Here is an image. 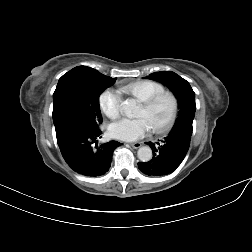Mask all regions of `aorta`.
Segmentation results:
<instances>
[{"label":"aorta","instance_id":"1","mask_svg":"<svg viewBox=\"0 0 252 252\" xmlns=\"http://www.w3.org/2000/svg\"><path fill=\"white\" fill-rule=\"evenodd\" d=\"M136 101L134 99H126L121 103V109L127 117H132L136 112ZM138 158L142 162H148L152 159V150L148 146H143L138 149Z\"/></svg>","mask_w":252,"mask_h":252}]
</instances>
